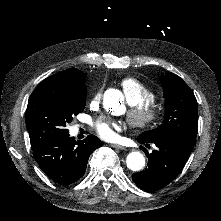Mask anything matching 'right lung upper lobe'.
Instances as JSON below:
<instances>
[{
  "mask_svg": "<svg viewBox=\"0 0 221 221\" xmlns=\"http://www.w3.org/2000/svg\"><path fill=\"white\" fill-rule=\"evenodd\" d=\"M84 82L85 74L76 68L58 72L42 81V83H50L59 87H73Z\"/></svg>",
  "mask_w": 221,
  "mask_h": 221,
  "instance_id": "cb5924a9",
  "label": "right lung upper lobe"
}]
</instances>
